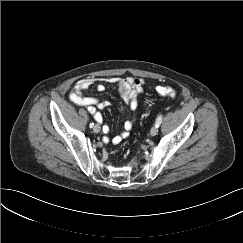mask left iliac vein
<instances>
[{
  "label": "left iliac vein",
  "instance_id": "left-iliac-vein-1",
  "mask_svg": "<svg viewBox=\"0 0 243 243\" xmlns=\"http://www.w3.org/2000/svg\"><path fill=\"white\" fill-rule=\"evenodd\" d=\"M151 136H156L158 134V127L153 126L150 131Z\"/></svg>",
  "mask_w": 243,
  "mask_h": 243
}]
</instances>
